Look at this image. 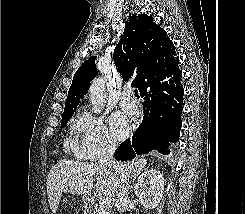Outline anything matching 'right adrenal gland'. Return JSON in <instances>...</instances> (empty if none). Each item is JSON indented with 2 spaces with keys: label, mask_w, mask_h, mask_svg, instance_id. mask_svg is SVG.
I'll return each mask as SVG.
<instances>
[{
  "label": "right adrenal gland",
  "mask_w": 245,
  "mask_h": 214,
  "mask_svg": "<svg viewBox=\"0 0 245 214\" xmlns=\"http://www.w3.org/2000/svg\"><path fill=\"white\" fill-rule=\"evenodd\" d=\"M135 179H136V177H134V178L132 179V184L134 183ZM132 188H133V186H130V191H132Z\"/></svg>",
  "instance_id": "2a0ac1e0"
}]
</instances>
